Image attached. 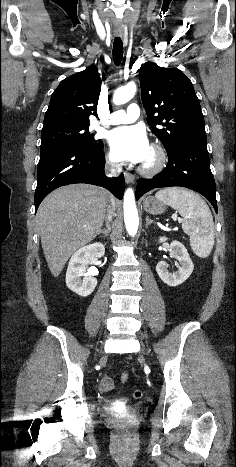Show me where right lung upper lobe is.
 <instances>
[{
  "mask_svg": "<svg viewBox=\"0 0 236 467\" xmlns=\"http://www.w3.org/2000/svg\"><path fill=\"white\" fill-rule=\"evenodd\" d=\"M102 80L95 66L64 79L51 95L43 129L89 125V116L96 115Z\"/></svg>",
  "mask_w": 236,
  "mask_h": 467,
  "instance_id": "right-lung-upper-lobe-1",
  "label": "right lung upper lobe"
}]
</instances>
